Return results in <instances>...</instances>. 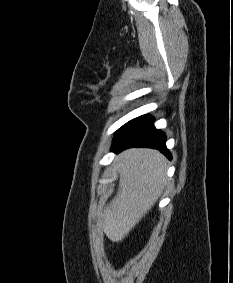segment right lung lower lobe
Here are the masks:
<instances>
[{
  "mask_svg": "<svg viewBox=\"0 0 233 283\" xmlns=\"http://www.w3.org/2000/svg\"><path fill=\"white\" fill-rule=\"evenodd\" d=\"M153 122L154 118L148 115L129 121L115 133L111 150L120 152L130 147H150L158 149L171 159L165 145L166 136L154 127Z\"/></svg>",
  "mask_w": 233,
  "mask_h": 283,
  "instance_id": "obj_1",
  "label": "right lung lower lobe"
}]
</instances>
